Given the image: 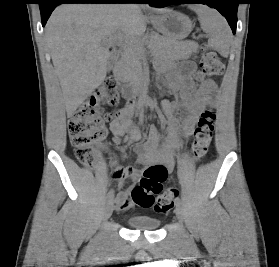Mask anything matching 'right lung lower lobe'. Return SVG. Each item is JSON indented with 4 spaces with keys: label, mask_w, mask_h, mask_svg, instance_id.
Wrapping results in <instances>:
<instances>
[{
    "label": "right lung lower lobe",
    "mask_w": 279,
    "mask_h": 267,
    "mask_svg": "<svg viewBox=\"0 0 279 267\" xmlns=\"http://www.w3.org/2000/svg\"><path fill=\"white\" fill-rule=\"evenodd\" d=\"M142 0H41L39 2L42 26H45L52 11L62 3H141Z\"/></svg>",
    "instance_id": "obj_1"
}]
</instances>
